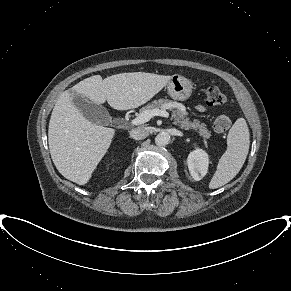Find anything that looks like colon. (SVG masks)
Wrapping results in <instances>:
<instances>
[{
    "label": "colon",
    "mask_w": 291,
    "mask_h": 291,
    "mask_svg": "<svg viewBox=\"0 0 291 291\" xmlns=\"http://www.w3.org/2000/svg\"><path fill=\"white\" fill-rule=\"evenodd\" d=\"M206 100L210 106H223L227 102V97L216 87H210L206 92ZM230 119L225 115H220L214 121V130L218 133L227 131L230 127Z\"/></svg>",
    "instance_id": "1"
}]
</instances>
